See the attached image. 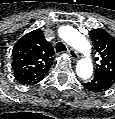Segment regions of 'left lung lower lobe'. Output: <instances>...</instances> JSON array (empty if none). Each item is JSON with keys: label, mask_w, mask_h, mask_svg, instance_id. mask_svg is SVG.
<instances>
[{"label": "left lung lower lobe", "mask_w": 115, "mask_h": 119, "mask_svg": "<svg viewBox=\"0 0 115 119\" xmlns=\"http://www.w3.org/2000/svg\"><path fill=\"white\" fill-rule=\"evenodd\" d=\"M112 84L110 80L98 74H95L92 80L82 83L86 89L92 92H105L111 88Z\"/></svg>", "instance_id": "left-lung-lower-lobe-1"}]
</instances>
